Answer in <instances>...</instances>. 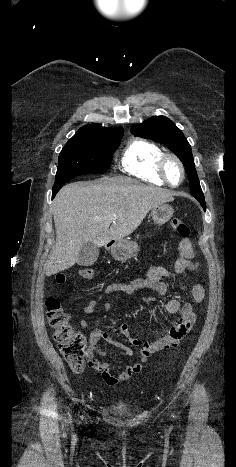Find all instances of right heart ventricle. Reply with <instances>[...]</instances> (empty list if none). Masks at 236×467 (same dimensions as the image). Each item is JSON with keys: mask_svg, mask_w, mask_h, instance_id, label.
Masks as SVG:
<instances>
[{"mask_svg": "<svg viewBox=\"0 0 236 467\" xmlns=\"http://www.w3.org/2000/svg\"><path fill=\"white\" fill-rule=\"evenodd\" d=\"M163 151L156 144L142 139H134L124 149L119 166L129 175L145 182L166 184L157 172V164Z\"/></svg>", "mask_w": 236, "mask_h": 467, "instance_id": "right-heart-ventricle-1", "label": "right heart ventricle"}]
</instances>
